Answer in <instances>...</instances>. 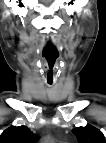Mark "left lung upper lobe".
Masks as SVG:
<instances>
[{
  "label": "left lung upper lobe",
  "mask_w": 106,
  "mask_h": 143,
  "mask_svg": "<svg viewBox=\"0 0 106 143\" xmlns=\"http://www.w3.org/2000/svg\"><path fill=\"white\" fill-rule=\"evenodd\" d=\"M72 132L76 135L79 143H106L103 133L91 125L74 128Z\"/></svg>",
  "instance_id": "1"
}]
</instances>
